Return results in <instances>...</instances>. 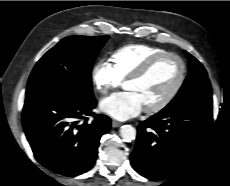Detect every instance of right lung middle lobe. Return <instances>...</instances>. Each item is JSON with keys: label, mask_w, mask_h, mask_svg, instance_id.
Returning a JSON list of instances; mask_svg holds the SVG:
<instances>
[{"label": "right lung middle lobe", "mask_w": 230, "mask_h": 186, "mask_svg": "<svg viewBox=\"0 0 230 186\" xmlns=\"http://www.w3.org/2000/svg\"><path fill=\"white\" fill-rule=\"evenodd\" d=\"M109 36H69L50 49L35 65L26 97L46 91L93 95L91 68Z\"/></svg>", "instance_id": "right-lung-middle-lobe-1"}]
</instances>
